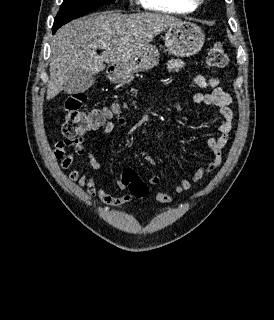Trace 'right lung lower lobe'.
Instances as JSON below:
<instances>
[{"mask_svg": "<svg viewBox=\"0 0 274 320\" xmlns=\"http://www.w3.org/2000/svg\"><path fill=\"white\" fill-rule=\"evenodd\" d=\"M56 30H57V29H53V28H52L53 34L56 32Z\"/></svg>", "mask_w": 274, "mask_h": 320, "instance_id": "1", "label": "right lung lower lobe"}]
</instances>
